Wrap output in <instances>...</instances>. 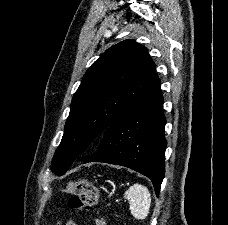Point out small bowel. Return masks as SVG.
<instances>
[{
  "mask_svg": "<svg viewBox=\"0 0 228 225\" xmlns=\"http://www.w3.org/2000/svg\"><path fill=\"white\" fill-rule=\"evenodd\" d=\"M72 221L68 222L66 225H72L71 224ZM58 225H61V222H57Z\"/></svg>",
  "mask_w": 228,
  "mask_h": 225,
  "instance_id": "obj_1",
  "label": "small bowel"
}]
</instances>
